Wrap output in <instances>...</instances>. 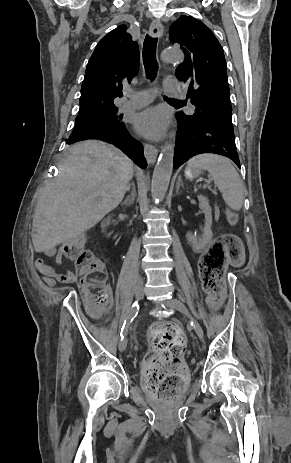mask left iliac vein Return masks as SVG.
<instances>
[{
  "mask_svg": "<svg viewBox=\"0 0 291 463\" xmlns=\"http://www.w3.org/2000/svg\"><path fill=\"white\" fill-rule=\"evenodd\" d=\"M164 303L167 306L174 307V308L178 309L181 313L186 315L193 322V328H194L197 336L199 337V339L202 340L204 338V332H203V329H202L201 325L198 323L197 320H195L191 316V314L189 313L187 307L185 306V304L183 302H181L180 300H178L176 298H171V299L164 300Z\"/></svg>",
  "mask_w": 291,
  "mask_h": 463,
  "instance_id": "obj_1",
  "label": "left iliac vein"
}]
</instances>
